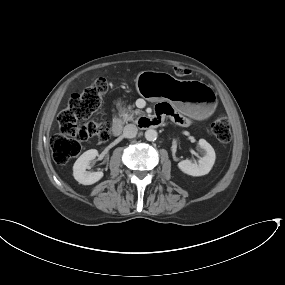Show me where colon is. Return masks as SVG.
Returning a JSON list of instances; mask_svg holds the SVG:
<instances>
[{"label":"colon","mask_w":285,"mask_h":285,"mask_svg":"<svg viewBox=\"0 0 285 285\" xmlns=\"http://www.w3.org/2000/svg\"><path fill=\"white\" fill-rule=\"evenodd\" d=\"M175 75L183 78L191 74V70L183 67L175 68ZM108 90L105 78H97L83 90L72 94L66 107L58 115V127L50 138V147L54 160L58 164H65L70 159L79 155L81 142L98 137L102 141L109 138V123L87 121L100 107L103 96ZM176 121L185 124L186 119L176 117ZM211 132L215 138L227 143L231 139V128L225 116H219L211 124Z\"/></svg>","instance_id":"5ec220e1"}]
</instances>
